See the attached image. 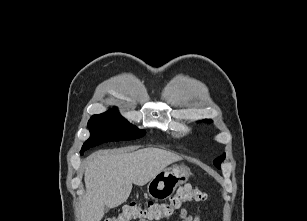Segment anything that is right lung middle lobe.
I'll return each instance as SVG.
<instances>
[{
  "mask_svg": "<svg viewBox=\"0 0 307 221\" xmlns=\"http://www.w3.org/2000/svg\"><path fill=\"white\" fill-rule=\"evenodd\" d=\"M88 128L90 138L82 146L81 155L90 147L108 141L133 140L145 135L144 130L130 124L116 110L93 115L88 122Z\"/></svg>",
  "mask_w": 307,
  "mask_h": 221,
  "instance_id": "obj_1",
  "label": "right lung middle lobe"
}]
</instances>
